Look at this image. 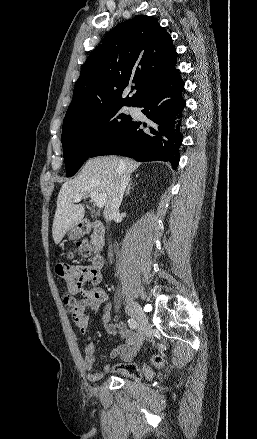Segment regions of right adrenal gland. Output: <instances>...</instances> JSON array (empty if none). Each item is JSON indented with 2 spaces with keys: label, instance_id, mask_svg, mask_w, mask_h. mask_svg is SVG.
<instances>
[{
  "label": "right adrenal gland",
  "instance_id": "right-adrenal-gland-1",
  "mask_svg": "<svg viewBox=\"0 0 257 439\" xmlns=\"http://www.w3.org/2000/svg\"><path fill=\"white\" fill-rule=\"evenodd\" d=\"M136 177H138V174L136 175ZM132 182H130L127 186L126 192H125V196H127L130 193V190L132 188Z\"/></svg>",
  "mask_w": 257,
  "mask_h": 439
}]
</instances>
